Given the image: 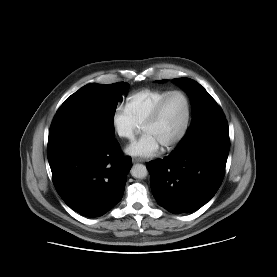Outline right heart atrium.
<instances>
[{
  "label": "right heart atrium",
  "mask_w": 277,
  "mask_h": 277,
  "mask_svg": "<svg viewBox=\"0 0 277 277\" xmlns=\"http://www.w3.org/2000/svg\"><path fill=\"white\" fill-rule=\"evenodd\" d=\"M112 126L117 136L127 140H132L141 128L124 106H118L114 110Z\"/></svg>",
  "instance_id": "d8ad5b80"
}]
</instances>
